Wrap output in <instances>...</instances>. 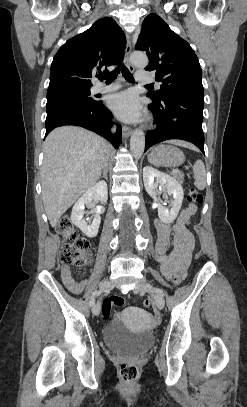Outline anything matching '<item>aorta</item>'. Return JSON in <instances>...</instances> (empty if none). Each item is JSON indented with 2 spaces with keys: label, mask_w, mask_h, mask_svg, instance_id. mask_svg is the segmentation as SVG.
Here are the masks:
<instances>
[{
  "label": "aorta",
  "mask_w": 247,
  "mask_h": 407,
  "mask_svg": "<svg viewBox=\"0 0 247 407\" xmlns=\"http://www.w3.org/2000/svg\"><path fill=\"white\" fill-rule=\"evenodd\" d=\"M131 63L139 68H144L148 65V57L143 52H133L130 56ZM145 148V135L140 129L133 132L130 138V149L134 158H140Z\"/></svg>",
  "instance_id": "1"
}]
</instances>
